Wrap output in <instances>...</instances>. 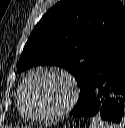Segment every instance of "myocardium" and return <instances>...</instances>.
Here are the masks:
<instances>
[{"label": "myocardium", "mask_w": 125, "mask_h": 128, "mask_svg": "<svg viewBox=\"0 0 125 128\" xmlns=\"http://www.w3.org/2000/svg\"><path fill=\"white\" fill-rule=\"evenodd\" d=\"M42 72L53 73L65 79L69 85L70 94H69V97L66 103L61 108L56 110L55 112L49 113V114H33L26 107L25 88L28 85L30 79L34 75L38 73H42ZM78 94H79V90H78L76 80L68 71L62 68H59V67H54V66H39L31 70L26 75V77L24 78V80L22 81L19 87V91H18L19 108L23 116H25L29 120H32L35 122H51V121L60 119L73 108V106L75 105L77 101Z\"/></svg>", "instance_id": "myocardium-1"}]
</instances>
